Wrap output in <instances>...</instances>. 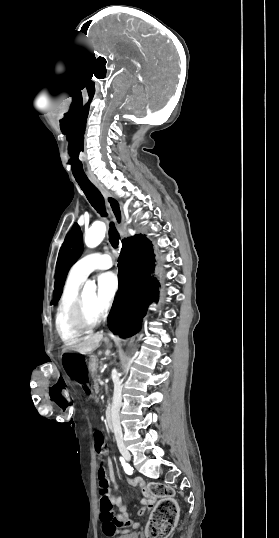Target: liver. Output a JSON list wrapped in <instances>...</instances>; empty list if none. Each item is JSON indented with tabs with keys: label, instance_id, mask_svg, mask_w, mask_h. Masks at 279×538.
Returning <instances> with one entry per match:
<instances>
[{
	"label": "liver",
	"instance_id": "obj_1",
	"mask_svg": "<svg viewBox=\"0 0 279 538\" xmlns=\"http://www.w3.org/2000/svg\"><path fill=\"white\" fill-rule=\"evenodd\" d=\"M103 334H94V336H88L87 340L70 346L71 350L79 352V354H92L96 348H99V342H101Z\"/></svg>",
	"mask_w": 279,
	"mask_h": 538
}]
</instances>
